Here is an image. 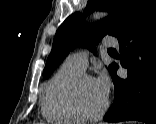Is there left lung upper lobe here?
I'll return each instance as SVG.
<instances>
[{
	"label": "left lung upper lobe",
	"mask_w": 156,
	"mask_h": 124,
	"mask_svg": "<svg viewBox=\"0 0 156 124\" xmlns=\"http://www.w3.org/2000/svg\"><path fill=\"white\" fill-rule=\"evenodd\" d=\"M150 0H88L86 13L94 10L108 11L110 16L93 25H83L81 14L70 15L58 28L50 55L43 71L47 79L55 68L76 46L95 52V45L105 35L121 36L138 20ZM115 63L108 70L111 72Z\"/></svg>",
	"instance_id": "obj_1"
}]
</instances>
